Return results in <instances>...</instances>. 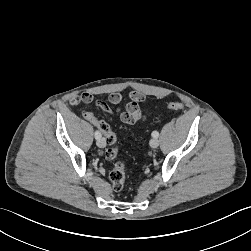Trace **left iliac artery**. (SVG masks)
Segmentation results:
<instances>
[{"instance_id":"44dca946","label":"left iliac artery","mask_w":251,"mask_h":251,"mask_svg":"<svg viewBox=\"0 0 251 251\" xmlns=\"http://www.w3.org/2000/svg\"><path fill=\"white\" fill-rule=\"evenodd\" d=\"M152 136H153L154 138H158V137H159V133H158L157 131H153V132H152Z\"/></svg>"}]
</instances>
